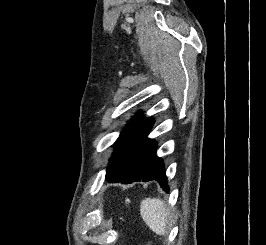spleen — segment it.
Returning <instances> with one entry per match:
<instances>
[{
  "label": "spleen",
  "mask_w": 266,
  "mask_h": 245,
  "mask_svg": "<svg viewBox=\"0 0 266 245\" xmlns=\"http://www.w3.org/2000/svg\"><path fill=\"white\" fill-rule=\"evenodd\" d=\"M140 215L153 233L165 235L168 219L164 201H161L158 197H155V199H144L140 203Z\"/></svg>",
  "instance_id": "obj_1"
}]
</instances>
